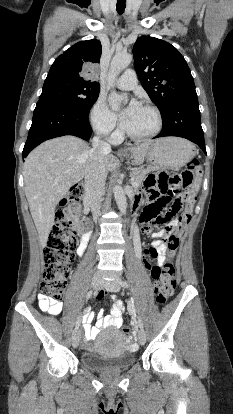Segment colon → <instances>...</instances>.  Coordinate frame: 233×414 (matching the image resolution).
I'll return each instance as SVG.
<instances>
[{
  "label": "colon",
  "instance_id": "5ec220e1",
  "mask_svg": "<svg viewBox=\"0 0 233 414\" xmlns=\"http://www.w3.org/2000/svg\"><path fill=\"white\" fill-rule=\"evenodd\" d=\"M201 170L199 160L192 159L181 174L159 171L150 174L144 182V190L151 198L147 210L156 218L157 223L160 222L161 212L167 208L165 214L167 216L180 212L177 217L179 229L167 237L163 244V253L167 256V260L161 268L153 266L150 270L155 279L156 300L161 305L167 303L177 283V273L172 258L179 246L180 230L191 219L197 199L194 177ZM83 196V185L76 184L70 189L67 197L62 199L44 250L45 268L40 291L56 300L65 292L74 261L76 241L71 230L76 226L79 216L78 202ZM80 227H84V223L80 224ZM122 330L127 335L131 333L129 325H124Z\"/></svg>",
  "mask_w": 233,
  "mask_h": 414
}]
</instances>
